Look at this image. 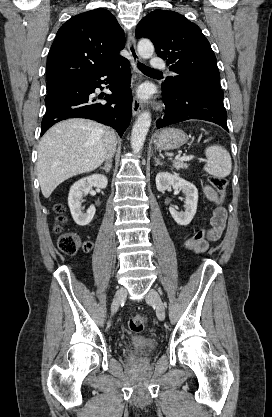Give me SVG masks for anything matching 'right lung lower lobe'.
<instances>
[{
	"label": "right lung lower lobe",
	"instance_id": "right-lung-lower-lobe-1",
	"mask_svg": "<svg viewBox=\"0 0 272 417\" xmlns=\"http://www.w3.org/2000/svg\"><path fill=\"white\" fill-rule=\"evenodd\" d=\"M130 76L129 62L122 57L98 73L47 88L41 135L63 119L79 117L109 125L122 137L131 121ZM103 83L112 94L96 96L95 89Z\"/></svg>",
	"mask_w": 272,
	"mask_h": 417
}]
</instances>
